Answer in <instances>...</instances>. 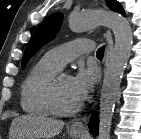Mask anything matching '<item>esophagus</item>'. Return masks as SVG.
<instances>
[{"instance_id": "34e87169", "label": "esophagus", "mask_w": 141, "mask_h": 139, "mask_svg": "<svg viewBox=\"0 0 141 139\" xmlns=\"http://www.w3.org/2000/svg\"><path fill=\"white\" fill-rule=\"evenodd\" d=\"M105 36L107 42L106 52H105V64L108 65L109 58L113 49V39H112L111 31L109 29H106ZM87 123H88V118H85L81 121H75L71 125V129L78 132H84L86 131Z\"/></svg>"}]
</instances>
